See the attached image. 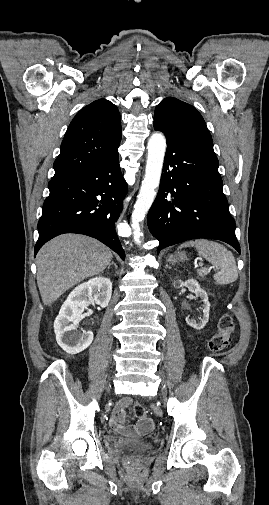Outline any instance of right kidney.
Segmentation results:
<instances>
[{
	"instance_id": "right-kidney-1",
	"label": "right kidney",
	"mask_w": 269,
	"mask_h": 505,
	"mask_svg": "<svg viewBox=\"0 0 269 505\" xmlns=\"http://www.w3.org/2000/svg\"><path fill=\"white\" fill-rule=\"evenodd\" d=\"M112 283L109 278L95 277L78 285L63 303L54 322L56 340L68 354L82 352L93 341V332L83 334L77 330V322L91 302L105 308L111 299Z\"/></svg>"
}]
</instances>
